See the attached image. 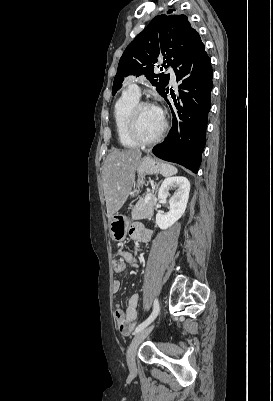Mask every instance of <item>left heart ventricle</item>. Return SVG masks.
Returning a JSON list of instances; mask_svg holds the SVG:
<instances>
[{"label": "left heart ventricle", "mask_w": 273, "mask_h": 401, "mask_svg": "<svg viewBox=\"0 0 273 401\" xmlns=\"http://www.w3.org/2000/svg\"><path fill=\"white\" fill-rule=\"evenodd\" d=\"M137 131L144 138L156 136L162 129L163 120L152 107H142L137 113Z\"/></svg>", "instance_id": "b2bd125f"}]
</instances>
